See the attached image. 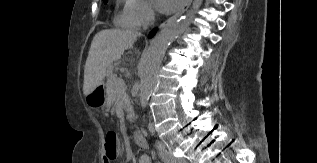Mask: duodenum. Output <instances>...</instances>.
<instances>
[{
	"mask_svg": "<svg viewBox=\"0 0 317 163\" xmlns=\"http://www.w3.org/2000/svg\"><path fill=\"white\" fill-rule=\"evenodd\" d=\"M133 139H134V142L137 146H139V147H146L147 146L146 138L144 137V135L141 131H134L133 132Z\"/></svg>",
	"mask_w": 317,
	"mask_h": 163,
	"instance_id": "410a0bca",
	"label": "duodenum"
}]
</instances>
